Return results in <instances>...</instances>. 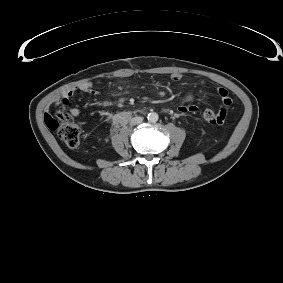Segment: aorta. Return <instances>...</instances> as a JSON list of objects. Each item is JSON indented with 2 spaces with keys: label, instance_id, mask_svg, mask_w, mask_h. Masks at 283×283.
Wrapping results in <instances>:
<instances>
[{
  "label": "aorta",
  "instance_id": "762f6f07",
  "mask_svg": "<svg viewBox=\"0 0 283 283\" xmlns=\"http://www.w3.org/2000/svg\"><path fill=\"white\" fill-rule=\"evenodd\" d=\"M147 119L151 123H156L159 119V116L156 112H150L147 116Z\"/></svg>",
  "mask_w": 283,
  "mask_h": 283
}]
</instances>
